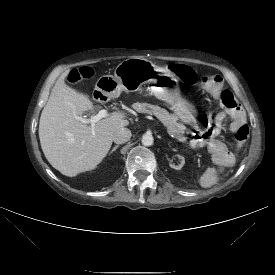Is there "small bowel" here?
<instances>
[{"mask_svg":"<svg viewBox=\"0 0 275 275\" xmlns=\"http://www.w3.org/2000/svg\"><path fill=\"white\" fill-rule=\"evenodd\" d=\"M222 88V79L216 76L215 81L211 82L206 91L214 98L218 99ZM231 118L229 129L236 133L240 128L247 126L244 110L240 105L235 106L229 111ZM217 132L213 129L206 130L193 136L191 145L194 150L203 152L208 150L211 160L207 161L205 168L199 175L202 185L211 187L219 182L221 176L225 175L228 167L233 165L235 157L233 153L227 151L223 140L216 138Z\"/></svg>","mask_w":275,"mask_h":275,"instance_id":"small-bowel-1","label":"small bowel"}]
</instances>
